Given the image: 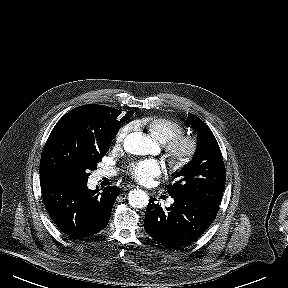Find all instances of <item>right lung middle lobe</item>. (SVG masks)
Returning a JSON list of instances; mask_svg holds the SVG:
<instances>
[{"mask_svg":"<svg viewBox=\"0 0 288 288\" xmlns=\"http://www.w3.org/2000/svg\"><path fill=\"white\" fill-rule=\"evenodd\" d=\"M121 111L108 107L90 128L79 120L59 121L53 128L40 161L41 187L87 182L89 171L97 168L121 127Z\"/></svg>","mask_w":288,"mask_h":288,"instance_id":"obj_1","label":"right lung middle lobe"}]
</instances>
